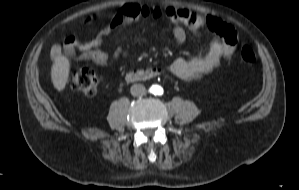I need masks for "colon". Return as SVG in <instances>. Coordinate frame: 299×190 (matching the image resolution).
<instances>
[{"mask_svg":"<svg viewBox=\"0 0 299 190\" xmlns=\"http://www.w3.org/2000/svg\"><path fill=\"white\" fill-rule=\"evenodd\" d=\"M240 57L246 64H253L256 60L255 52L249 46H244L241 49ZM98 83L99 80L95 71L87 66H80L69 76V85L87 96L96 94Z\"/></svg>","mask_w":299,"mask_h":190,"instance_id":"obj_1","label":"colon"}]
</instances>
